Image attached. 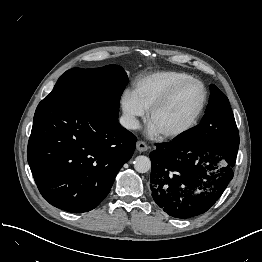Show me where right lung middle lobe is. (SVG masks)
Listing matches in <instances>:
<instances>
[{
  "mask_svg": "<svg viewBox=\"0 0 262 262\" xmlns=\"http://www.w3.org/2000/svg\"><path fill=\"white\" fill-rule=\"evenodd\" d=\"M128 83L122 67L67 70L43 101H69L91 107L102 115L117 119L120 96Z\"/></svg>",
  "mask_w": 262,
  "mask_h": 262,
  "instance_id": "1",
  "label": "right lung middle lobe"
}]
</instances>
